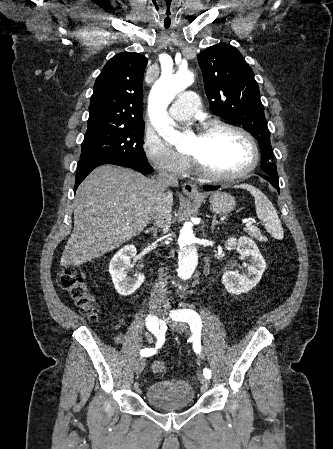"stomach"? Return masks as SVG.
<instances>
[{"label":"stomach","mask_w":333,"mask_h":449,"mask_svg":"<svg viewBox=\"0 0 333 449\" xmlns=\"http://www.w3.org/2000/svg\"><path fill=\"white\" fill-rule=\"evenodd\" d=\"M209 202L211 210L216 214H228L235 207L234 197L225 192H215Z\"/></svg>","instance_id":"1"}]
</instances>
